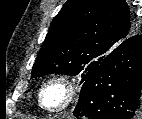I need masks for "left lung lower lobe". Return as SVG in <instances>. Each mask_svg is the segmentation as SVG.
<instances>
[{
    "instance_id": "obj_1",
    "label": "left lung lower lobe",
    "mask_w": 142,
    "mask_h": 119,
    "mask_svg": "<svg viewBox=\"0 0 142 119\" xmlns=\"http://www.w3.org/2000/svg\"><path fill=\"white\" fill-rule=\"evenodd\" d=\"M141 89L142 37L134 34L85 80L73 115L78 119H140Z\"/></svg>"
}]
</instances>
